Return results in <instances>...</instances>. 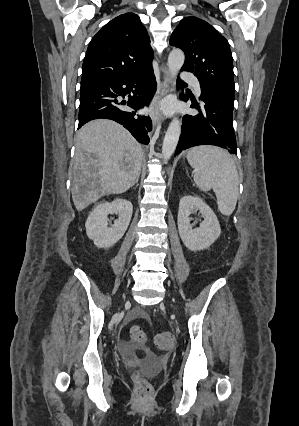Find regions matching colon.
Wrapping results in <instances>:
<instances>
[{"label":"colon","instance_id":"5ec220e1","mask_svg":"<svg viewBox=\"0 0 299 426\" xmlns=\"http://www.w3.org/2000/svg\"><path fill=\"white\" fill-rule=\"evenodd\" d=\"M131 337L136 342H145L146 336L142 329L138 326L131 328ZM155 344L160 349H169L174 344V337L170 332H162L155 337ZM133 380L135 384V395L140 401H147L153 393L150 382L141 374L134 373Z\"/></svg>","mask_w":299,"mask_h":426}]
</instances>
